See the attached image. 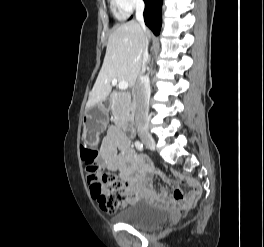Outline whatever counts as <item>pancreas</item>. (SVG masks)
Segmentation results:
<instances>
[{
  "label": "pancreas",
  "instance_id": "obj_1",
  "mask_svg": "<svg viewBox=\"0 0 264 247\" xmlns=\"http://www.w3.org/2000/svg\"><path fill=\"white\" fill-rule=\"evenodd\" d=\"M133 101L129 93H120L112 98L111 110L117 125L131 119Z\"/></svg>",
  "mask_w": 264,
  "mask_h": 247
}]
</instances>
